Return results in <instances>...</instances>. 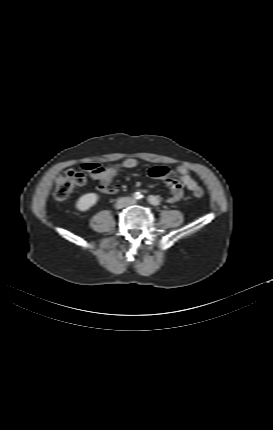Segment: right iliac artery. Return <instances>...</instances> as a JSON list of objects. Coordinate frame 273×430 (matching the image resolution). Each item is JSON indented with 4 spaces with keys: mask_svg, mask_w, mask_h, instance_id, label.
<instances>
[{
    "mask_svg": "<svg viewBox=\"0 0 273 430\" xmlns=\"http://www.w3.org/2000/svg\"><path fill=\"white\" fill-rule=\"evenodd\" d=\"M133 196L135 199H141L143 197V195L140 192H135Z\"/></svg>",
    "mask_w": 273,
    "mask_h": 430,
    "instance_id": "82829eb1",
    "label": "right iliac artery"
}]
</instances>
